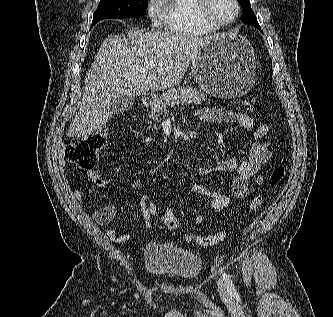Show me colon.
Segmentation results:
<instances>
[{
  "label": "colon",
  "mask_w": 333,
  "mask_h": 317,
  "mask_svg": "<svg viewBox=\"0 0 333 317\" xmlns=\"http://www.w3.org/2000/svg\"><path fill=\"white\" fill-rule=\"evenodd\" d=\"M239 105L247 111L253 109V103L250 100L242 99ZM106 144V136L104 132H95L84 137L74 139L65 150L66 159L85 170H92L97 166L99 154ZM286 174V169L282 165H278L270 172L268 181L271 185L280 184ZM263 196H255L250 204L249 209L255 211L263 204ZM157 218L164 223L169 229L179 232L181 236L189 243L200 246H213L221 243L226 238L225 232L213 235L200 236L191 235L183 232L180 227L179 220L172 209L166 208L158 211Z\"/></svg>",
  "instance_id": "colon-1"
}]
</instances>
